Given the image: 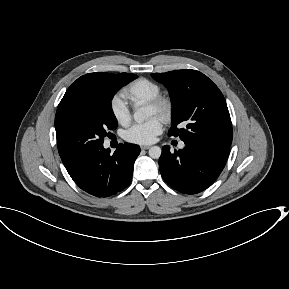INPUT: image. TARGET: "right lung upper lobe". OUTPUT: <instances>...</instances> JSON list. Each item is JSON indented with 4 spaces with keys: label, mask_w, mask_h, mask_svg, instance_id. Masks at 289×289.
Listing matches in <instances>:
<instances>
[{
    "label": "right lung upper lobe",
    "mask_w": 289,
    "mask_h": 289,
    "mask_svg": "<svg viewBox=\"0 0 289 289\" xmlns=\"http://www.w3.org/2000/svg\"><path fill=\"white\" fill-rule=\"evenodd\" d=\"M109 73H89L78 78L66 91L58 108L82 101L87 98L89 92L108 80Z\"/></svg>",
    "instance_id": "1"
}]
</instances>
